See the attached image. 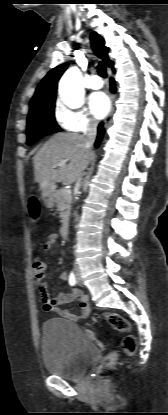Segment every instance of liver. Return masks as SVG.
<instances>
[{
	"label": "liver",
	"mask_w": 168,
	"mask_h": 415,
	"mask_svg": "<svg viewBox=\"0 0 168 415\" xmlns=\"http://www.w3.org/2000/svg\"><path fill=\"white\" fill-rule=\"evenodd\" d=\"M94 153L84 144V137L76 133H58L50 138L33 158L35 181L42 191L57 183L72 184L94 159ZM62 160L68 164L54 167Z\"/></svg>",
	"instance_id": "1"
}]
</instances>
